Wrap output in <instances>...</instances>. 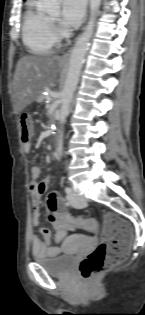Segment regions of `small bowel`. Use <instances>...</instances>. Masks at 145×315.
<instances>
[{
	"instance_id": "obj_1",
	"label": "small bowel",
	"mask_w": 145,
	"mask_h": 315,
	"mask_svg": "<svg viewBox=\"0 0 145 315\" xmlns=\"http://www.w3.org/2000/svg\"><path fill=\"white\" fill-rule=\"evenodd\" d=\"M31 142L24 143L23 148L25 152H30ZM31 182L29 184V192L32 199L33 205V215L32 224L37 227L40 223V200L42 195L46 192L50 179L45 178L42 181H38L41 176V169L38 166H33L30 169ZM54 228L56 233L53 234L47 228H41L39 230V235L32 236L31 247L32 253L36 257H55L57 256L61 248L52 245L53 242H60L62 238L66 235L68 231H73L76 229L72 224H70L66 219H56L54 222Z\"/></svg>"
}]
</instances>
